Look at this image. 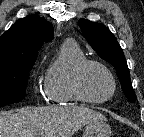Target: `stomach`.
Wrapping results in <instances>:
<instances>
[{"instance_id": "1", "label": "stomach", "mask_w": 144, "mask_h": 137, "mask_svg": "<svg viewBox=\"0 0 144 137\" xmlns=\"http://www.w3.org/2000/svg\"><path fill=\"white\" fill-rule=\"evenodd\" d=\"M111 128L105 121L89 123L83 130V137H110Z\"/></svg>"}]
</instances>
